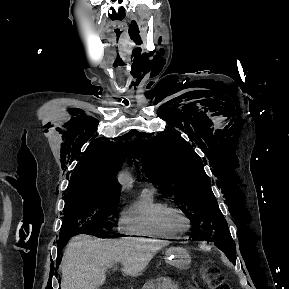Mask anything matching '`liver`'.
<instances>
[{
    "instance_id": "obj_1",
    "label": "liver",
    "mask_w": 289,
    "mask_h": 289,
    "mask_svg": "<svg viewBox=\"0 0 289 289\" xmlns=\"http://www.w3.org/2000/svg\"><path fill=\"white\" fill-rule=\"evenodd\" d=\"M168 241L140 238L102 240L88 235L74 237L64 253L61 289H98L106 280L105 269L122 264L124 274L136 277Z\"/></svg>"
}]
</instances>
